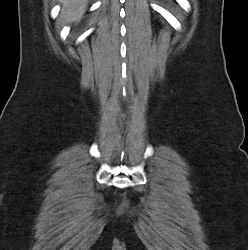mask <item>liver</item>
<instances>
[{
  "label": "liver",
  "mask_w": 248,
  "mask_h": 250,
  "mask_svg": "<svg viewBox=\"0 0 248 250\" xmlns=\"http://www.w3.org/2000/svg\"><path fill=\"white\" fill-rule=\"evenodd\" d=\"M62 4L61 19L67 23L79 22L86 10L88 0H59Z\"/></svg>",
  "instance_id": "6515ba94"
}]
</instances>
